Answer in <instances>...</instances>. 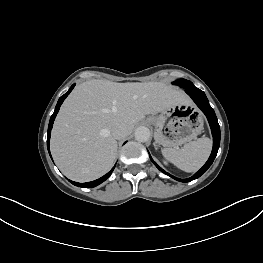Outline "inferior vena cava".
Returning <instances> with one entry per match:
<instances>
[{
    "mask_svg": "<svg viewBox=\"0 0 263 263\" xmlns=\"http://www.w3.org/2000/svg\"><path fill=\"white\" fill-rule=\"evenodd\" d=\"M112 135L115 139H123L128 135V130L124 124H117L112 129Z\"/></svg>",
    "mask_w": 263,
    "mask_h": 263,
    "instance_id": "inferior-vena-cava-1",
    "label": "inferior vena cava"
}]
</instances>
